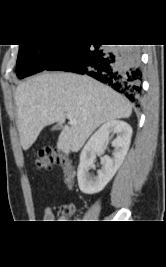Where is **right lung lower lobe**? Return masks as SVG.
Returning a JSON list of instances; mask_svg holds the SVG:
<instances>
[{"instance_id":"98d812e1","label":"right lung lower lobe","mask_w":166,"mask_h":267,"mask_svg":"<svg viewBox=\"0 0 166 267\" xmlns=\"http://www.w3.org/2000/svg\"><path fill=\"white\" fill-rule=\"evenodd\" d=\"M44 70L86 74L139 102L142 71L136 48L107 49L100 45H67Z\"/></svg>"}]
</instances>
